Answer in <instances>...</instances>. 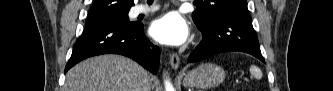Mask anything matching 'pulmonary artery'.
<instances>
[{
	"label": "pulmonary artery",
	"mask_w": 333,
	"mask_h": 91,
	"mask_svg": "<svg viewBox=\"0 0 333 91\" xmlns=\"http://www.w3.org/2000/svg\"><path fill=\"white\" fill-rule=\"evenodd\" d=\"M156 10H157L156 7H147V6H144V5H139L135 9V14H149V13H152Z\"/></svg>",
	"instance_id": "obj_1"
}]
</instances>
